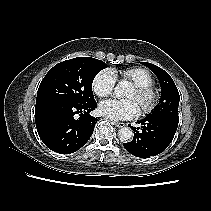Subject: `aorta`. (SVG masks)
I'll list each match as a JSON object with an SVG mask.
<instances>
[{
	"label": "aorta",
	"mask_w": 211,
	"mask_h": 211,
	"mask_svg": "<svg viewBox=\"0 0 211 211\" xmlns=\"http://www.w3.org/2000/svg\"><path fill=\"white\" fill-rule=\"evenodd\" d=\"M129 89V83L121 81L115 87V94L118 98L123 97L126 91ZM133 131L128 127H123L118 131V137L121 142H129L133 138Z\"/></svg>",
	"instance_id": "obj_1"
}]
</instances>
